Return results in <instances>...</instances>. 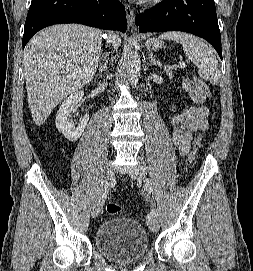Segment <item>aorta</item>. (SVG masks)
I'll use <instances>...</instances> for the list:
<instances>
[{"mask_svg": "<svg viewBox=\"0 0 253 271\" xmlns=\"http://www.w3.org/2000/svg\"><path fill=\"white\" fill-rule=\"evenodd\" d=\"M141 70V60L137 51L130 50L127 61V77L132 85H136L139 81Z\"/></svg>", "mask_w": 253, "mask_h": 271, "instance_id": "762f6f07", "label": "aorta"}]
</instances>
